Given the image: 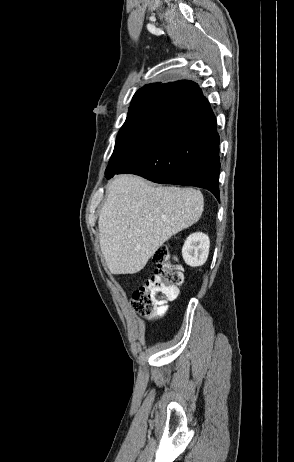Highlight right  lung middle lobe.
Instances as JSON below:
<instances>
[{
    "label": "right lung middle lobe",
    "instance_id": "obj_1",
    "mask_svg": "<svg viewBox=\"0 0 294 462\" xmlns=\"http://www.w3.org/2000/svg\"><path fill=\"white\" fill-rule=\"evenodd\" d=\"M187 104L184 98L169 95L130 107L105 174H114L125 166L144 145L165 131Z\"/></svg>",
    "mask_w": 294,
    "mask_h": 462
}]
</instances>
